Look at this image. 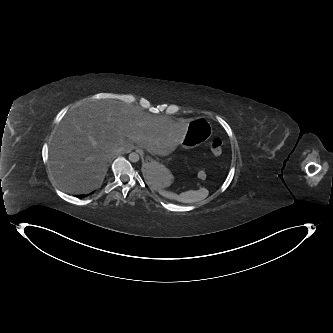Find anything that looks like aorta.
Listing matches in <instances>:
<instances>
[{"instance_id": "obj_1", "label": "aorta", "mask_w": 333, "mask_h": 333, "mask_svg": "<svg viewBox=\"0 0 333 333\" xmlns=\"http://www.w3.org/2000/svg\"><path fill=\"white\" fill-rule=\"evenodd\" d=\"M128 158H129V160H130L131 162L136 163V162L139 161L140 156H139L138 153H136V152H132V153L129 154Z\"/></svg>"}]
</instances>
